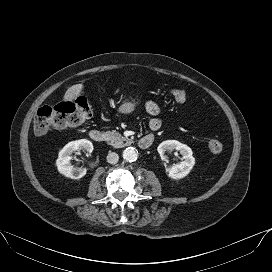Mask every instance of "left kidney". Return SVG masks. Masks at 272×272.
<instances>
[{"label": "left kidney", "instance_id": "5707ae66", "mask_svg": "<svg viewBox=\"0 0 272 272\" xmlns=\"http://www.w3.org/2000/svg\"><path fill=\"white\" fill-rule=\"evenodd\" d=\"M177 150L183 156V161L166 168L168 177L172 179H181L187 176L195 165V158L191 148L177 140H166L159 144L157 151L162 160L166 161L164 155L166 151Z\"/></svg>", "mask_w": 272, "mask_h": 272}]
</instances>
